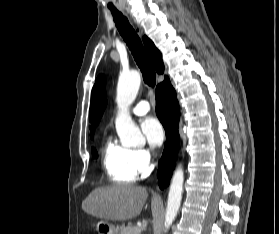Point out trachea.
<instances>
[{"label":"trachea","mask_w":279,"mask_h":234,"mask_svg":"<svg viewBox=\"0 0 279 234\" xmlns=\"http://www.w3.org/2000/svg\"><path fill=\"white\" fill-rule=\"evenodd\" d=\"M115 24L124 41L128 45L133 57L140 68L143 80L149 87H154L156 83V74L154 67L141 43L140 38L129 24L126 17L120 12H112Z\"/></svg>","instance_id":"obj_1"}]
</instances>
